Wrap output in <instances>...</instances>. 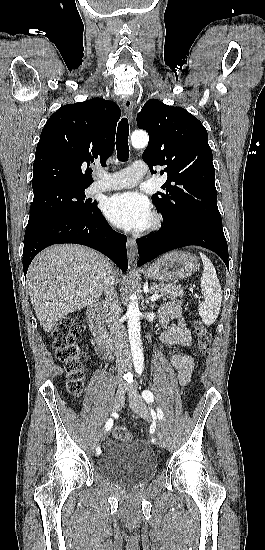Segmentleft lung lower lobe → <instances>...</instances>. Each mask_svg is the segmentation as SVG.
<instances>
[{
    "label": "left lung lower lobe",
    "instance_id": "left-lung-lower-lobe-1",
    "mask_svg": "<svg viewBox=\"0 0 265 550\" xmlns=\"http://www.w3.org/2000/svg\"><path fill=\"white\" fill-rule=\"evenodd\" d=\"M137 244L140 255L137 266L169 250L197 245L218 254L229 268L228 246L222 224L204 218L188 216L163 224L158 232L138 239Z\"/></svg>",
    "mask_w": 265,
    "mask_h": 550
}]
</instances>
